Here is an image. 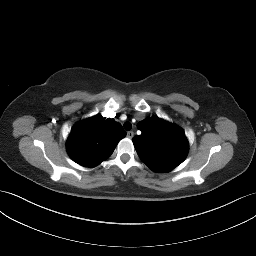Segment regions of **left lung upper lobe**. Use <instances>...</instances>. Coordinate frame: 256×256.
<instances>
[{"instance_id":"5c2ea615","label":"left lung upper lobe","mask_w":256,"mask_h":256,"mask_svg":"<svg viewBox=\"0 0 256 256\" xmlns=\"http://www.w3.org/2000/svg\"><path fill=\"white\" fill-rule=\"evenodd\" d=\"M141 135L132 141L140 159L153 171L168 172L181 164L188 152V141L178 126L158 117L137 124Z\"/></svg>"}]
</instances>
